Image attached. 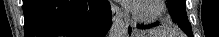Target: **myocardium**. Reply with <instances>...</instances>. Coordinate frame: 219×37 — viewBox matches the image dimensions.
I'll return each mask as SVG.
<instances>
[{"instance_id":"obj_1","label":"myocardium","mask_w":219,"mask_h":37,"mask_svg":"<svg viewBox=\"0 0 219 37\" xmlns=\"http://www.w3.org/2000/svg\"><path fill=\"white\" fill-rule=\"evenodd\" d=\"M139 2V1H138ZM136 3L134 6L129 8V11L136 22L148 23L156 20L163 12L164 1L163 0H152L153 9L149 12H142L139 10L138 5L142 2Z\"/></svg>"}]
</instances>
